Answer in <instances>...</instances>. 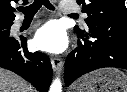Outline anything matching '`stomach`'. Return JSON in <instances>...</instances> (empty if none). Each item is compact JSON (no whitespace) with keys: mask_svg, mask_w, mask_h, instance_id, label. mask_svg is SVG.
<instances>
[{"mask_svg":"<svg viewBox=\"0 0 127 92\" xmlns=\"http://www.w3.org/2000/svg\"><path fill=\"white\" fill-rule=\"evenodd\" d=\"M73 92H127V76L119 69H100L78 80Z\"/></svg>","mask_w":127,"mask_h":92,"instance_id":"stomach-1","label":"stomach"}]
</instances>
